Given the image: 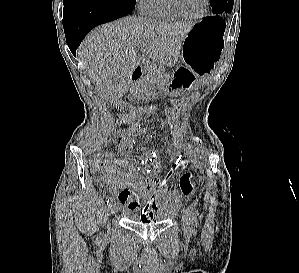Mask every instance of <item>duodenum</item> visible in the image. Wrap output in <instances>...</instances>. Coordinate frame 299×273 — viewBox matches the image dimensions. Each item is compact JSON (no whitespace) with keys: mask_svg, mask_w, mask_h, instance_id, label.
I'll use <instances>...</instances> for the list:
<instances>
[{"mask_svg":"<svg viewBox=\"0 0 299 273\" xmlns=\"http://www.w3.org/2000/svg\"><path fill=\"white\" fill-rule=\"evenodd\" d=\"M143 74V68L141 66H136L131 73V81L133 83L138 82L142 78Z\"/></svg>","mask_w":299,"mask_h":273,"instance_id":"obj_1","label":"duodenum"}]
</instances>
